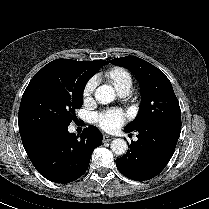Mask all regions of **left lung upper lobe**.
Returning <instances> with one entry per match:
<instances>
[{"label":"left lung upper lobe","instance_id":"5c2ea615","mask_svg":"<svg viewBox=\"0 0 209 209\" xmlns=\"http://www.w3.org/2000/svg\"><path fill=\"white\" fill-rule=\"evenodd\" d=\"M110 62L133 72L140 83L142 99L139 113L124 130L181 127L179 102L169 79L161 70L135 56L116 58Z\"/></svg>","mask_w":209,"mask_h":209}]
</instances>
